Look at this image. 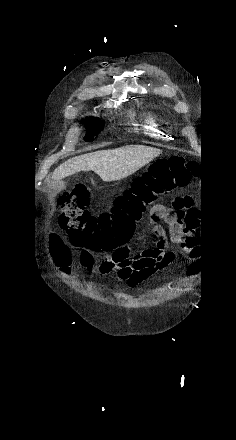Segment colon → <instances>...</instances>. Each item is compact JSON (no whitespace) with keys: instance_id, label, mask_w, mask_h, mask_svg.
<instances>
[{"instance_id":"1","label":"colon","mask_w":236,"mask_h":440,"mask_svg":"<svg viewBox=\"0 0 236 440\" xmlns=\"http://www.w3.org/2000/svg\"><path fill=\"white\" fill-rule=\"evenodd\" d=\"M194 176L195 165L188 159L175 156L160 160L116 198L111 212L100 215L88 211L89 190L77 185L59 197V225L75 246L112 250L132 237L151 206L177 188L188 185ZM50 238L54 246L62 243L55 234Z\"/></svg>"}]
</instances>
